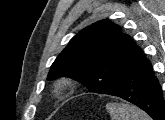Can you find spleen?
Wrapping results in <instances>:
<instances>
[{
    "mask_svg": "<svg viewBox=\"0 0 165 120\" xmlns=\"http://www.w3.org/2000/svg\"><path fill=\"white\" fill-rule=\"evenodd\" d=\"M106 109L111 120H151V118L138 107L128 103L110 102Z\"/></svg>",
    "mask_w": 165,
    "mask_h": 120,
    "instance_id": "3e777b00",
    "label": "spleen"
}]
</instances>
